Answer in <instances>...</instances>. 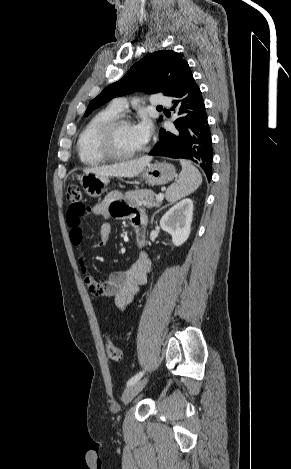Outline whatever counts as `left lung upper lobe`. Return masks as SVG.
<instances>
[{"label":"left lung upper lobe","mask_w":291,"mask_h":469,"mask_svg":"<svg viewBox=\"0 0 291 469\" xmlns=\"http://www.w3.org/2000/svg\"><path fill=\"white\" fill-rule=\"evenodd\" d=\"M189 69L181 54L172 50L149 53L135 63L127 74L117 82L106 87L93 99L85 116L114 97L143 90L149 93L162 92L170 96L179 86L184 74ZM160 121L162 118L159 119Z\"/></svg>","instance_id":"obj_1"}]
</instances>
